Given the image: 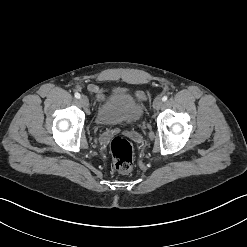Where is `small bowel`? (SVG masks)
<instances>
[{"label":"small bowel","instance_id":"obj_1","mask_svg":"<svg viewBox=\"0 0 247 247\" xmlns=\"http://www.w3.org/2000/svg\"><path fill=\"white\" fill-rule=\"evenodd\" d=\"M88 91L90 93L94 94L100 102H104L107 98L108 93H109V91L107 89H103L96 84H90L88 86ZM144 97H145V95L142 91H136L135 92V99L137 101L144 99Z\"/></svg>","mask_w":247,"mask_h":247}]
</instances>
